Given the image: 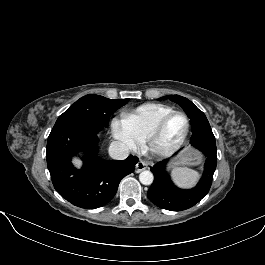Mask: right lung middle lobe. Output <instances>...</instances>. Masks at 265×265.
Here are the masks:
<instances>
[{"mask_svg":"<svg viewBox=\"0 0 265 265\" xmlns=\"http://www.w3.org/2000/svg\"><path fill=\"white\" fill-rule=\"evenodd\" d=\"M128 101L129 99L111 100L95 94L85 95L61 114L56 124L68 121H85L107 127L110 116Z\"/></svg>","mask_w":265,"mask_h":265,"instance_id":"obj_1","label":"right lung middle lobe"}]
</instances>
